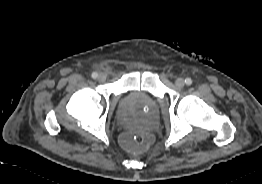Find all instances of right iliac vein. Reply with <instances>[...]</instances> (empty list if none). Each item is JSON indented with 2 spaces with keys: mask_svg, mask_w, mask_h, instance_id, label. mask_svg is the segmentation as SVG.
Here are the masks:
<instances>
[{
  "mask_svg": "<svg viewBox=\"0 0 262 184\" xmlns=\"http://www.w3.org/2000/svg\"><path fill=\"white\" fill-rule=\"evenodd\" d=\"M106 78H107V76L104 73H100L99 76H98V80L100 82H104L106 80Z\"/></svg>",
  "mask_w": 262,
  "mask_h": 184,
  "instance_id": "1",
  "label": "right iliac vein"
}]
</instances>
